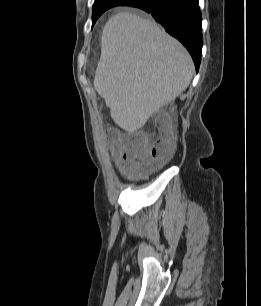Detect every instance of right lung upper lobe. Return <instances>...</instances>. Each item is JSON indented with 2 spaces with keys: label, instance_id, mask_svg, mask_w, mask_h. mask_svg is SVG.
I'll use <instances>...</instances> for the list:
<instances>
[{
  "label": "right lung upper lobe",
  "instance_id": "cb5924a9",
  "mask_svg": "<svg viewBox=\"0 0 261 306\" xmlns=\"http://www.w3.org/2000/svg\"><path fill=\"white\" fill-rule=\"evenodd\" d=\"M101 1H106V0H95L94 3L96 4V3L101 2ZM127 1H129V0H127Z\"/></svg>",
  "mask_w": 261,
  "mask_h": 306
}]
</instances>
